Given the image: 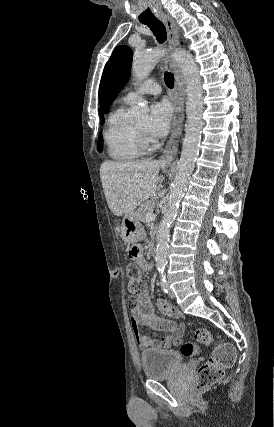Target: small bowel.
<instances>
[{
  "label": "small bowel",
  "instance_id": "1",
  "mask_svg": "<svg viewBox=\"0 0 274 427\" xmlns=\"http://www.w3.org/2000/svg\"><path fill=\"white\" fill-rule=\"evenodd\" d=\"M138 250L139 253L135 257L137 264L142 270H149L151 265L145 258L142 248H138ZM154 306L158 307L159 313H168L170 301L169 299H158L154 301ZM175 317L178 318L179 313ZM143 326L150 327L156 332H169L171 335L151 339L145 336L142 330ZM130 327L137 344L143 351L161 347L169 348L173 343L174 336H180L185 331L183 324L177 325L171 318L156 315L146 292L141 293L135 305L131 307Z\"/></svg>",
  "mask_w": 274,
  "mask_h": 427
}]
</instances>
